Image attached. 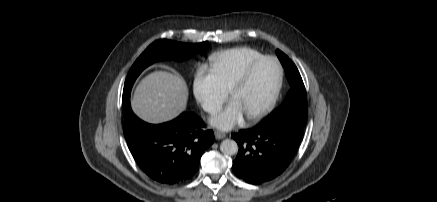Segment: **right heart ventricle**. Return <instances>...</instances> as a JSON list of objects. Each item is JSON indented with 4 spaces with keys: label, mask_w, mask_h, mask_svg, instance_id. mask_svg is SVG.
<instances>
[{
    "label": "right heart ventricle",
    "mask_w": 437,
    "mask_h": 202,
    "mask_svg": "<svg viewBox=\"0 0 437 202\" xmlns=\"http://www.w3.org/2000/svg\"><path fill=\"white\" fill-rule=\"evenodd\" d=\"M262 56L261 52L251 47H234L211 55L210 66L222 86L229 91L246 67Z\"/></svg>",
    "instance_id": "1"
}]
</instances>
